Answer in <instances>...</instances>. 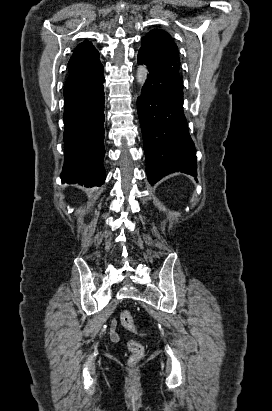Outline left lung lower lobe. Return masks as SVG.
I'll list each match as a JSON object with an SVG mask.
<instances>
[{
  "label": "left lung lower lobe",
  "mask_w": 272,
  "mask_h": 411,
  "mask_svg": "<svg viewBox=\"0 0 272 411\" xmlns=\"http://www.w3.org/2000/svg\"><path fill=\"white\" fill-rule=\"evenodd\" d=\"M149 74L137 100L151 185L172 172L197 176L196 152L183 112V81L138 52Z\"/></svg>",
  "instance_id": "1"
}]
</instances>
